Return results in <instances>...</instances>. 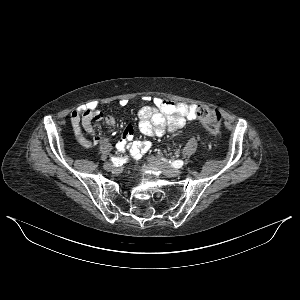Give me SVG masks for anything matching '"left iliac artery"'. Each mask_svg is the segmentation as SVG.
Here are the masks:
<instances>
[{"instance_id": "1", "label": "left iliac artery", "mask_w": 300, "mask_h": 300, "mask_svg": "<svg viewBox=\"0 0 300 300\" xmlns=\"http://www.w3.org/2000/svg\"><path fill=\"white\" fill-rule=\"evenodd\" d=\"M162 160L165 161L164 158H162ZM169 163L171 164V166H173L174 168H181L183 166V161L182 160H176V161H169Z\"/></svg>"}]
</instances>
